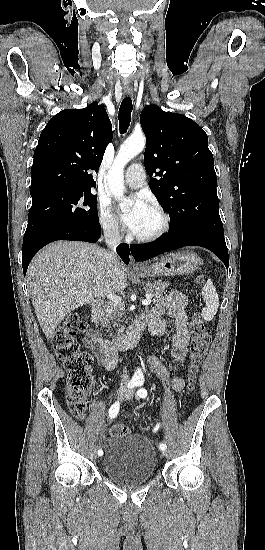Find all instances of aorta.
<instances>
[{
	"instance_id": "obj_1",
	"label": "aorta",
	"mask_w": 265,
	"mask_h": 550,
	"mask_svg": "<svg viewBox=\"0 0 265 550\" xmlns=\"http://www.w3.org/2000/svg\"><path fill=\"white\" fill-rule=\"evenodd\" d=\"M146 139L142 134L131 135L120 147L117 156L114 160L108 173V185L110 192L118 201H124V167L136 155H138L145 147ZM122 210H126V206L122 205ZM141 374V370H137Z\"/></svg>"
}]
</instances>
